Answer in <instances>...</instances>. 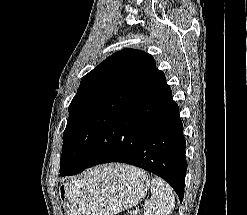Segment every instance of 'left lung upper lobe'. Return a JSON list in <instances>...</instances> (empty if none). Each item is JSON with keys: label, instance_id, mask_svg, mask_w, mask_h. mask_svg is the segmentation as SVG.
Listing matches in <instances>:
<instances>
[{"label": "left lung upper lobe", "instance_id": "1", "mask_svg": "<svg viewBox=\"0 0 247 215\" xmlns=\"http://www.w3.org/2000/svg\"><path fill=\"white\" fill-rule=\"evenodd\" d=\"M153 57L124 49L85 75L69 105L60 172L76 162L85 144L103 137L156 73Z\"/></svg>", "mask_w": 247, "mask_h": 215}]
</instances>
